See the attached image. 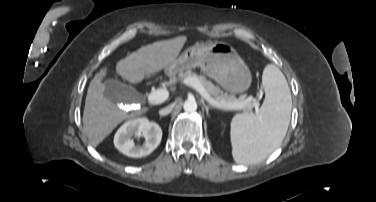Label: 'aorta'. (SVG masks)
Here are the masks:
<instances>
[{
    "label": "aorta",
    "mask_w": 376,
    "mask_h": 202,
    "mask_svg": "<svg viewBox=\"0 0 376 202\" xmlns=\"http://www.w3.org/2000/svg\"><path fill=\"white\" fill-rule=\"evenodd\" d=\"M198 106L194 99H188L183 104V109L187 113H192L197 110Z\"/></svg>",
    "instance_id": "1"
}]
</instances>
